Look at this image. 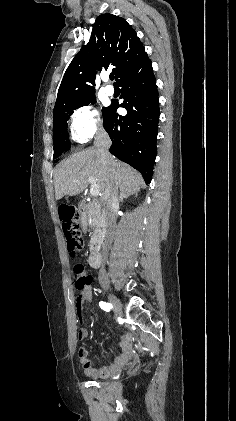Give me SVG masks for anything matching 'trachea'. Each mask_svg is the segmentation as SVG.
Returning <instances> with one entry per match:
<instances>
[{
    "mask_svg": "<svg viewBox=\"0 0 236 421\" xmlns=\"http://www.w3.org/2000/svg\"><path fill=\"white\" fill-rule=\"evenodd\" d=\"M110 80H114V75H110Z\"/></svg>",
    "mask_w": 236,
    "mask_h": 421,
    "instance_id": "trachea-1",
    "label": "trachea"
}]
</instances>
